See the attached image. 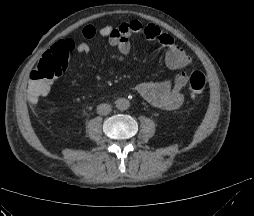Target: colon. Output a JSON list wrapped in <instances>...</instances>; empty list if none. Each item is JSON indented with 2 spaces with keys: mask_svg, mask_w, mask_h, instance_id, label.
<instances>
[{
  "mask_svg": "<svg viewBox=\"0 0 254 216\" xmlns=\"http://www.w3.org/2000/svg\"><path fill=\"white\" fill-rule=\"evenodd\" d=\"M67 56L64 52L54 49L46 52L31 72L24 92L26 97L34 102L44 100L53 86V80L60 77L67 69ZM206 85V76L194 69L189 74V89L193 96L203 92Z\"/></svg>",
  "mask_w": 254,
  "mask_h": 216,
  "instance_id": "obj_1",
  "label": "colon"
}]
</instances>
